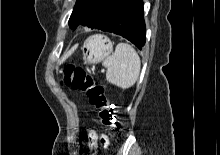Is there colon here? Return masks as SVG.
I'll return each mask as SVG.
<instances>
[{
    "label": "colon",
    "instance_id": "colon-1",
    "mask_svg": "<svg viewBox=\"0 0 220 155\" xmlns=\"http://www.w3.org/2000/svg\"><path fill=\"white\" fill-rule=\"evenodd\" d=\"M63 84L75 91L84 93L88 103L97 113L101 124L110 130L119 131L121 117L107 100L104 88L97 84L82 68L68 65L63 69ZM105 143L106 140L102 139Z\"/></svg>",
    "mask_w": 220,
    "mask_h": 155
}]
</instances>
